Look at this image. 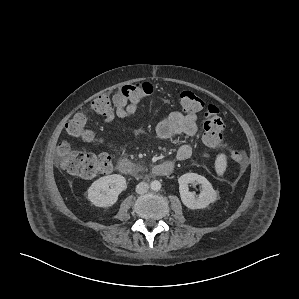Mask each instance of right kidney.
<instances>
[{"label":"right kidney","mask_w":299,"mask_h":299,"mask_svg":"<svg viewBox=\"0 0 299 299\" xmlns=\"http://www.w3.org/2000/svg\"><path fill=\"white\" fill-rule=\"evenodd\" d=\"M126 188V179L119 174L104 176L92 183L88 189V199L96 207L114 205L119 194Z\"/></svg>","instance_id":"obj_1"}]
</instances>
